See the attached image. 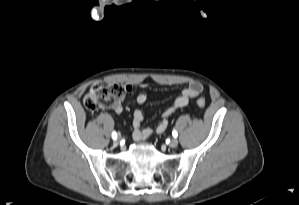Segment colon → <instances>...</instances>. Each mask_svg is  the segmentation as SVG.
<instances>
[{"mask_svg":"<svg viewBox=\"0 0 299 205\" xmlns=\"http://www.w3.org/2000/svg\"><path fill=\"white\" fill-rule=\"evenodd\" d=\"M127 88L121 84L97 81L90 87L84 98V105L90 111H95L102 107H113L123 99ZM197 105L203 109L205 100L203 97L197 98Z\"/></svg>","mask_w":299,"mask_h":205,"instance_id":"colon-1","label":"colon"}]
</instances>
